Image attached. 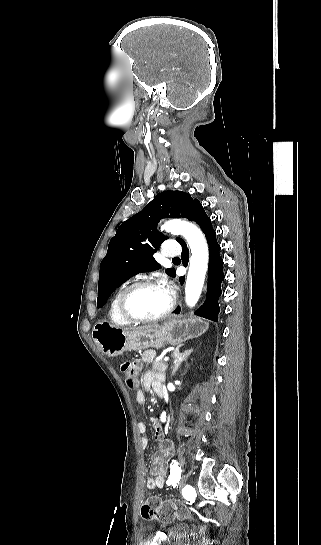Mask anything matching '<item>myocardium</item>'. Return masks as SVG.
Here are the masks:
<instances>
[{"instance_id":"f54148a6","label":"myocardium","mask_w":321,"mask_h":545,"mask_svg":"<svg viewBox=\"0 0 321 545\" xmlns=\"http://www.w3.org/2000/svg\"><path fill=\"white\" fill-rule=\"evenodd\" d=\"M154 288H163V287L157 281L146 280V281L135 282V283L127 286L125 289L122 290V292L120 293V295L118 297L117 309H118V313H119L121 319L125 323H127L128 325H131V326H138V325L155 323V322H159V321L164 320L173 311V309L175 307V301H174V296L172 295L171 296V302H170V305H169L168 309L165 312H163V313H161L159 315H156V316H153V317H148V318L138 319V318H133L128 314V312L126 310V300H127L128 296L131 293H133V292H135L137 290H140V289H154Z\"/></svg>"}]
</instances>
